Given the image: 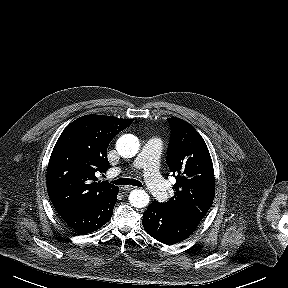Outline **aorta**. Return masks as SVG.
<instances>
[{
	"mask_svg": "<svg viewBox=\"0 0 288 288\" xmlns=\"http://www.w3.org/2000/svg\"><path fill=\"white\" fill-rule=\"evenodd\" d=\"M139 140L132 134L121 136L117 143L116 149L124 158L134 157L139 150ZM149 195L144 190H133L129 195V202L133 207L143 208L149 203Z\"/></svg>",
	"mask_w": 288,
	"mask_h": 288,
	"instance_id": "aorta-1",
	"label": "aorta"
}]
</instances>
